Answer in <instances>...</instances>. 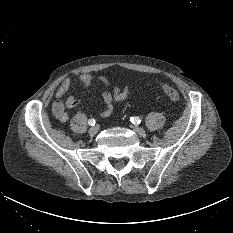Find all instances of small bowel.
I'll list each match as a JSON object with an SVG mask.
<instances>
[{
  "mask_svg": "<svg viewBox=\"0 0 233 233\" xmlns=\"http://www.w3.org/2000/svg\"><path fill=\"white\" fill-rule=\"evenodd\" d=\"M95 80L107 87L112 86L109 79L104 75L94 76L89 73H83L79 76V83L83 88L89 87ZM71 84V80L69 78H65L61 81L55 91L56 100L52 106V113L61 123L67 122L69 118L67 109H73L78 104V100L73 96L68 97L66 100H62L63 96L70 89ZM130 94L131 88L129 86L120 87L114 85L112 86L111 91H104L102 93V100L105 105V109L100 113V116L103 118L109 117L113 111V103L125 100Z\"/></svg>",
  "mask_w": 233,
  "mask_h": 233,
  "instance_id": "obj_1",
  "label": "small bowel"
}]
</instances>
